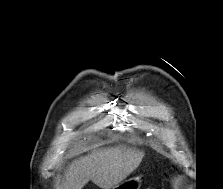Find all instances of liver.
Listing matches in <instances>:
<instances>
[{
    "instance_id": "liver-1",
    "label": "liver",
    "mask_w": 223,
    "mask_h": 189,
    "mask_svg": "<svg viewBox=\"0 0 223 189\" xmlns=\"http://www.w3.org/2000/svg\"><path fill=\"white\" fill-rule=\"evenodd\" d=\"M144 152L126 147L105 148L72 161L57 189H82L90 180L111 189L127 178L141 163Z\"/></svg>"
}]
</instances>
